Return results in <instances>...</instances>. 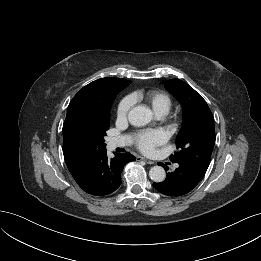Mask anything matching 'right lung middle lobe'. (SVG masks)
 <instances>
[{
	"mask_svg": "<svg viewBox=\"0 0 261 261\" xmlns=\"http://www.w3.org/2000/svg\"><path fill=\"white\" fill-rule=\"evenodd\" d=\"M130 83L131 81L119 87L106 107L98 110L74 126L72 131L73 142L82 153L93 156L95 153L106 149L104 137L106 136V131L109 129L112 103L116 95Z\"/></svg>",
	"mask_w": 261,
	"mask_h": 261,
	"instance_id": "right-lung-middle-lobe-1",
	"label": "right lung middle lobe"
}]
</instances>
